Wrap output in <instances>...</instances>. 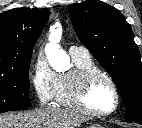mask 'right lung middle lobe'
<instances>
[{"instance_id": "obj_1", "label": "right lung middle lobe", "mask_w": 142, "mask_h": 128, "mask_svg": "<svg viewBox=\"0 0 142 128\" xmlns=\"http://www.w3.org/2000/svg\"><path fill=\"white\" fill-rule=\"evenodd\" d=\"M30 60L16 69L0 71V113L23 110L31 106L28 95Z\"/></svg>"}]
</instances>
